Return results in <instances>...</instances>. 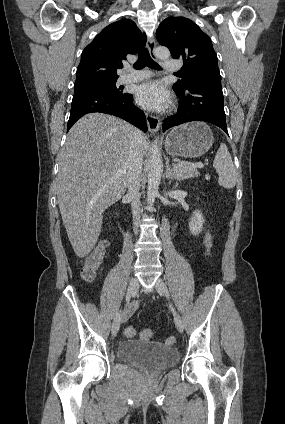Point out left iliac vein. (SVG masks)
<instances>
[{
  "label": "left iliac vein",
  "instance_id": "1",
  "mask_svg": "<svg viewBox=\"0 0 285 424\" xmlns=\"http://www.w3.org/2000/svg\"><path fill=\"white\" fill-rule=\"evenodd\" d=\"M155 287H156V290L159 293V295L168 296L167 286L162 279L158 278L156 280ZM174 321H175V325H176V328L178 329V331L182 332L183 329H184L183 322H182L180 315L176 311H174Z\"/></svg>",
  "mask_w": 285,
  "mask_h": 424
}]
</instances>
